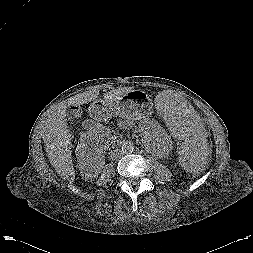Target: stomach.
<instances>
[{"label":"stomach","mask_w":253,"mask_h":253,"mask_svg":"<svg viewBox=\"0 0 253 253\" xmlns=\"http://www.w3.org/2000/svg\"><path fill=\"white\" fill-rule=\"evenodd\" d=\"M94 105L100 107L105 115L115 113L130 120H143L153 113L154 108L151 98L142 90H132L114 101L99 100Z\"/></svg>","instance_id":"obj_1"}]
</instances>
